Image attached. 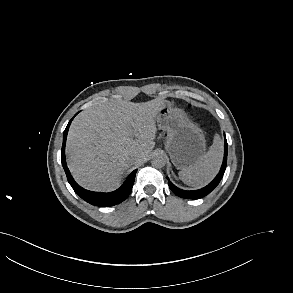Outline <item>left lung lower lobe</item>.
<instances>
[{
	"label": "left lung lower lobe",
	"instance_id": "0a47b994",
	"mask_svg": "<svg viewBox=\"0 0 293 293\" xmlns=\"http://www.w3.org/2000/svg\"><path fill=\"white\" fill-rule=\"evenodd\" d=\"M227 140L225 137V144H224V158H223V163L221 166V169L219 171V173L217 174V176L213 179V181L211 183H209L207 186H205L202 189L199 190H193V191H186V190H182L179 189L178 187H176L174 184H172L169 179H168V185L170 187V189L172 190L173 193H175L177 196L185 198V199H199L202 198L204 196H206L207 194H209L221 181L225 169H226V165H227Z\"/></svg>",
	"mask_w": 293,
	"mask_h": 293
}]
</instances>
